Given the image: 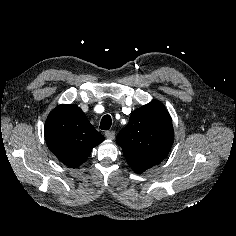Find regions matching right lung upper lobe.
<instances>
[{
    "instance_id": "cb5924a9",
    "label": "right lung upper lobe",
    "mask_w": 236,
    "mask_h": 236,
    "mask_svg": "<svg viewBox=\"0 0 236 236\" xmlns=\"http://www.w3.org/2000/svg\"><path fill=\"white\" fill-rule=\"evenodd\" d=\"M44 135L51 152L71 168L80 166L104 140L77 105H59L51 111Z\"/></svg>"
}]
</instances>
